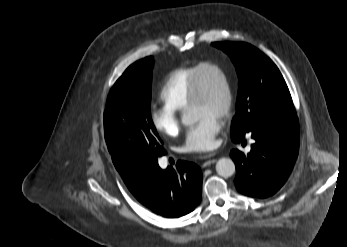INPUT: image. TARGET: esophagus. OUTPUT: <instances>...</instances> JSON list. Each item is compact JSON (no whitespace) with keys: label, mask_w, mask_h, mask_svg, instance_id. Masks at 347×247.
<instances>
[{"label":"esophagus","mask_w":347,"mask_h":247,"mask_svg":"<svg viewBox=\"0 0 347 247\" xmlns=\"http://www.w3.org/2000/svg\"><path fill=\"white\" fill-rule=\"evenodd\" d=\"M214 156H215L214 152L204 155L203 158L206 160L203 163V167H207V166H210L211 164H214L217 161L215 158H212Z\"/></svg>","instance_id":"esophagus-1"}]
</instances>
